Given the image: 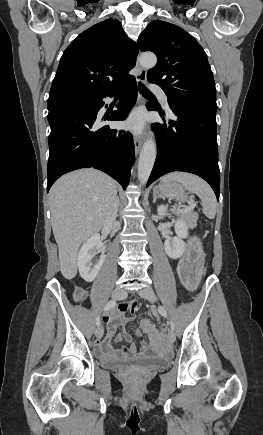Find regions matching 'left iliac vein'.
I'll return each instance as SVG.
<instances>
[{"label":"left iliac vein","instance_id":"4c4485c4","mask_svg":"<svg viewBox=\"0 0 263 435\" xmlns=\"http://www.w3.org/2000/svg\"><path fill=\"white\" fill-rule=\"evenodd\" d=\"M139 295L145 299H147L150 302L157 301V296L155 295L154 291L150 287H145L139 291ZM175 332L174 330L170 329L168 331V340L173 343L175 341Z\"/></svg>","mask_w":263,"mask_h":435}]
</instances>
